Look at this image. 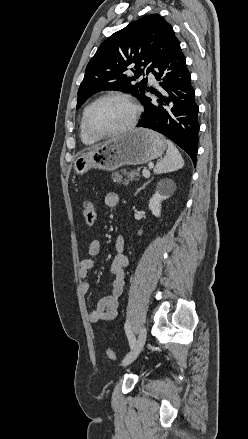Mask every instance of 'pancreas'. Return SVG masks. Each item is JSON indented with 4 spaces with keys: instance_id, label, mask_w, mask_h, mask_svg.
<instances>
[{
    "instance_id": "1",
    "label": "pancreas",
    "mask_w": 248,
    "mask_h": 439,
    "mask_svg": "<svg viewBox=\"0 0 248 439\" xmlns=\"http://www.w3.org/2000/svg\"><path fill=\"white\" fill-rule=\"evenodd\" d=\"M139 171H140V169L131 170V171H128V172L126 170H122L121 173L126 175L127 179L126 178L123 179V176L120 173H115V174H113V181L118 182V183H123L124 185H128L132 181L139 180L138 179Z\"/></svg>"
}]
</instances>
